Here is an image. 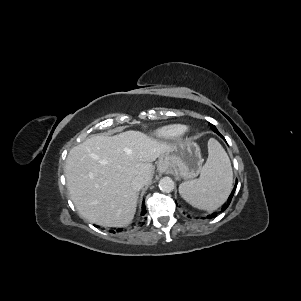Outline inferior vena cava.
Wrapping results in <instances>:
<instances>
[{
	"label": "inferior vena cava",
	"mask_w": 301,
	"mask_h": 301,
	"mask_svg": "<svg viewBox=\"0 0 301 301\" xmlns=\"http://www.w3.org/2000/svg\"><path fill=\"white\" fill-rule=\"evenodd\" d=\"M145 185V179L141 176H137L132 180V187L139 191Z\"/></svg>",
	"instance_id": "1"
}]
</instances>
